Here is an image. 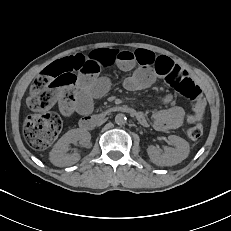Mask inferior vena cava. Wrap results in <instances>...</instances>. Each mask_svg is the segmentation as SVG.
<instances>
[{
	"mask_svg": "<svg viewBox=\"0 0 231 231\" xmlns=\"http://www.w3.org/2000/svg\"><path fill=\"white\" fill-rule=\"evenodd\" d=\"M110 120H111V117L110 116H106V117L102 118L100 120V122L97 123V125H98L99 128H103L104 125L106 124V122H108Z\"/></svg>",
	"mask_w": 231,
	"mask_h": 231,
	"instance_id": "1",
	"label": "inferior vena cava"
}]
</instances>
